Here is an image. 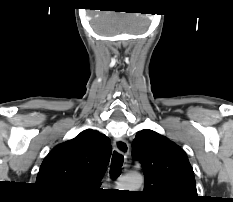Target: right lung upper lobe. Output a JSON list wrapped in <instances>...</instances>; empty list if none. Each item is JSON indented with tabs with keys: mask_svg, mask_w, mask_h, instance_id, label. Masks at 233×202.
<instances>
[{
	"mask_svg": "<svg viewBox=\"0 0 233 202\" xmlns=\"http://www.w3.org/2000/svg\"><path fill=\"white\" fill-rule=\"evenodd\" d=\"M110 139L91 129L57 145L45 157L36 183L59 196H80L98 188L110 160Z\"/></svg>",
	"mask_w": 233,
	"mask_h": 202,
	"instance_id": "obj_1",
	"label": "right lung upper lobe"
}]
</instances>
